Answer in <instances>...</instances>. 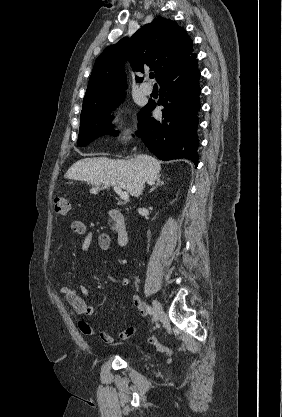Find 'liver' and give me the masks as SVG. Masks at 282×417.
<instances>
[{
    "mask_svg": "<svg viewBox=\"0 0 282 417\" xmlns=\"http://www.w3.org/2000/svg\"><path fill=\"white\" fill-rule=\"evenodd\" d=\"M161 162L149 156V154H137L135 158L120 160V158H81L74 162L67 172L65 178L73 180H86L94 184L90 188L92 194H97L102 188L108 186H120L128 190L133 196H139L144 182H154L160 176Z\"/></svg>",
    "mask_w": 282,
    "mask_h": 417,
    "instance_id": "obj_1",
    "label": "liver"
}]
</instances>
